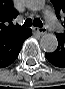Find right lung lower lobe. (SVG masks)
I'll return each mask as SVG.
<instances>
[{"mask_svg": "<svg viewBox=\"0 0 65 89\" xmlns=\"http://www.w3.org/2000/svg\"><path fill=\"white\" fill-rule=\"evenodd\" d=\"M31 35V29H24L18 34L0 38V68L9 66L15 61L23 42Z\"/></svg>", "mask_w": 65, "mask_h": 89, "instance_id": "obj_1", "label": "right lung lower lobe"}]
</instances>
